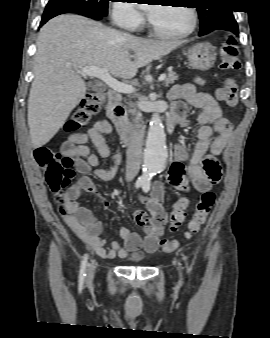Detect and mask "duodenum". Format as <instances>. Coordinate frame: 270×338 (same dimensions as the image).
Wrapping results in <instances>:
<instances>
[{
	"label": "duodenum",
	"mask_w": 270,
	"mask_h": 338,
	"mask_svg": "<svg viewBox=\"0 0 270 338\" xmlns=\"http://www.w3.org/2000/svg\"><path fill=\"white\" fill-rule=\"evenodd\" d=\"M106 110L108 117L114 120L122 138L125 139L128 132V125L124 120L125 110L120 103V96L117 92L109 91ZM165 125L168 132H171L174 128V124L170 118L165 119Z\"/></svg>",
	"instance_id": "obj_1"
}]
</instances>
